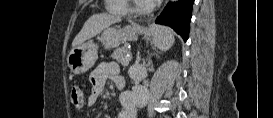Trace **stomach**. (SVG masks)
<instances>
[{"label": "stomach", "instance_id": "0dacf381", "mask_svg": "<svg viewBox=\"0 0 273 118\" xmlns=\"http://www.w3.org/2000/svg\"><path fill=\"white\" fill-rule=\"evenodd\" d=\"M145 30L138 25L131 24L125 27H107L103 29L97 39L106 48L118 47L125 41H135ZM146 38V37H144ZM98 46L92 40L83 42L72 48L67 56V65L74 74H82L87 72L94 66L97 55Z\"/></svg>", "mask_w": 273, "mask_h": 118}]
</instances>
